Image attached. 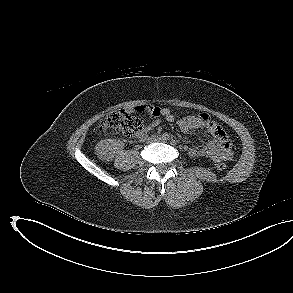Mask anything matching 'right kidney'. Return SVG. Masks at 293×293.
Returning <instances> with one entry per match:
<instances>
[{"label":"right kidney","mask_w":293,"mask_h":293,"mask_svg":"<svg viewBox=\"0 0 293 293\" xmlns=\"http://www.w3.org/2000/svg\"><path fill=\"white\" fill-rule=\"evenodd\" d=\"M122 147V144L115 139H105L98 142L95 146L96 155L102 161L109 162L113 160L116 150Z\"/></svg>","instance_id":"ca27d5eb"}]
</instances>
